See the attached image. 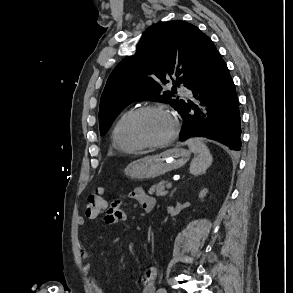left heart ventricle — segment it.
Returning a JSON list of instances; mask_svg holds the SVG:
<instances>
[{
    "instance_id": "left-heart-ventricle-1",
    "label": "left heart ventricle",
    "mask_w": 293,
    "mask_h": 293,
    "mask_svg": "<svg viewBox=\"0 0 293 293\" xmlns=\"http://www.w3.org/2000/svg\"><path fill=\"white\" fill-rule=\"evenodd\" d=\"M172 129L173 124L170 117L160 111L142 115L137 123L139 135L149 142H157L167 138Z\"/></svg>"
}]
</instances>
